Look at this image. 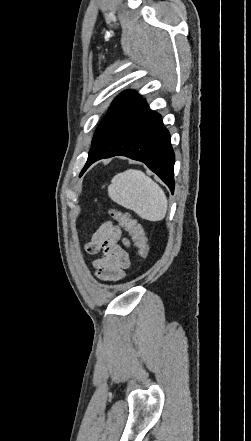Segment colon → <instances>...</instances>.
Masks as SVG:
<instances>
[{
  "label": "colon",
  "mask_w": 251,
  "mask_h": 441,
  "mask_svg": "<svg viewBox=\"0 0 251 441\" xmlns=\"http://www.w3.org/2000/svg\"><path fill=\"white\" fill-rule=\"evenodd\" d=\"M107 211L119 223V225L132 236L136 246L139 249L140 256L146 259L149 255V245L138 222L128 213L122 212L116 208L109 207Z\"/></svg>",
  "instance_id": "colon-1"
}]
</instances>
